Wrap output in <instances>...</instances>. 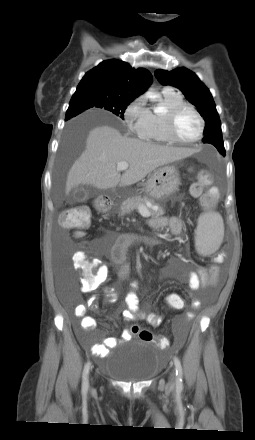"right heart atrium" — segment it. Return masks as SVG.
<instances>
[{
  "label": "right heart atrium",
  "instance_id": "d8ad5b80",
  "mask_svg": "<svg viewBox=\"0 0 255 440\" xmlns=\"http://www.w3.org/2000/svg\"><path fill=\"white\" fill-rule=\"evenodd\" d=\"M150 110L146 106L145 98L139 96L128 104L124 111V120L128 129L141 137L148 128Z\"/></svg>",
  "mask_w": 255,
  "mask_h": 440
}]
</instances>
